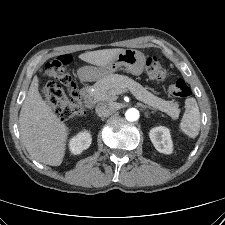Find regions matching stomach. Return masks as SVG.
Returning a JSON list of instances; mask_svg holds the SVG:
<instances>
[{"mask_svg":"<svg viewBox=\"0 0 225 225\" xmlns=\"http://www.w3.org/2000/svg\"><path fill=\"white\" fill-rule=\"evenodd\" d=\"M145 55L135 49H124L106 66L103 67H84L82 77L87 80H96L106 77L119 68L124 67L128 73L139 76L145 68Z\"/></svg>","mask_w":225,"mask_h":225,"instance_id":"obj_1","label":"stomach"}]
</instances>
